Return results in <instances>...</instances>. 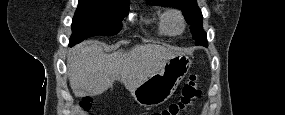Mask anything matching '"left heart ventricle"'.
<instances>
[{"label":"left heart ventricle","instance_id":"obj_1","mask_svg":"<svg viewBox=\"0 0 285 115\" xmlns=\"http://www.w3.org/2000/svg\"><path fill=\"white\" fill-rule=\"evenodd\" d=\"M174 23H175V26L177 27V26H178V23H177L176 21H175Z\"/></svg>","mask_w":285,"mask_h":115}]
</instances>
